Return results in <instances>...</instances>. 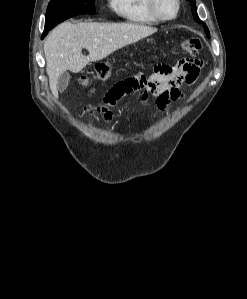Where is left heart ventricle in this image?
I'll use <instances>...</instances> for the list:
<instances>
[{"label": "left heart ventricle", "instance_id": "1", "mask_svg": "<svg viewBox=\"0 0 247 299\" xmlns=\"http://www.w3.org/2000/svg\"><path fill=\"white\" fill-rule=\"evenodd\" d=\"M158 9L162 15L169 17L174 15L176 5L173 0H158Z\"/></svg>", "mask_w": 247, "mask_h": 299}]
</instances>
